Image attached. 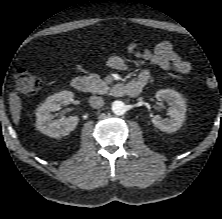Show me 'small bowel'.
I'll return each instance as SVG.
<instances>
[{"label": "small bowel", "mask_w": 222, "mask_h": 219, "mask_svg": "<svg viewBox=\"0 0 222 219\" xmlns=\"http://www.w3.org/2000/svg\"><path fill=\"white\" fill-rule=\"evenodd\" d=\"M129 50L136 57L148 61L165 71L173 70L179 74H188L192 69L191 63L176 53L172 44L168 41L157 43L153 49H140L137 43H131ZM107 65L119 71L127 69L125 60L116 55L108 57ZM147 80L148 73L142 72L135 82L144 85Z\"/></svg>", "instance_id": "obj_1"}]
</instances>
